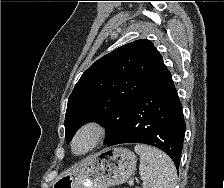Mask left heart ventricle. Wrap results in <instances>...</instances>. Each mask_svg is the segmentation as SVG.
I'll use <instances>...</instances> for the list:
<instances>
[{"instance_id": "obj_1", "label": "left heart ventricle", "mask_w": 224, "mask_h": 188, "mask_svg": "<svg viewBox=\"0 0 224 188\" xmlns=\"http://www.w3.org/2000/svg\"><path fill=\"white\" fill-rule=\"evenodd\" d=\"M92 140V136L89 133L82 134L75 142V150L77 152L83 151L87 148Z\"/></svg>"}]
</instances>
